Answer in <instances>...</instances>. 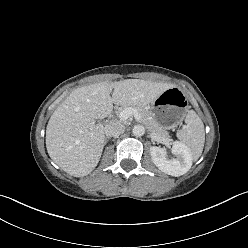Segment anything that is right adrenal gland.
Returning a JSON list of instances; mask_svg holds the SVG:
<instances>
[{"instance_id": "right-adrenal-gland-1", "label": "right adrenal gland", "mask_w": 248, "mask_h": 248, "mask_svg": "<svg viewBox=\"0 0 248 248\" xmlns=\"http://www.w3.org/2000/svg\"><path fill=\"white\" fill-rule=\"evenodd\" d=\"M108 139H109V138H108V137H106V139H105V144L107 143Z\"/></svg>"}]
</instances>
